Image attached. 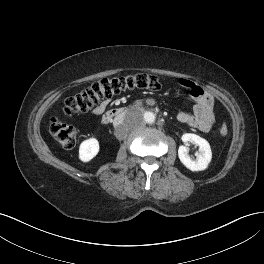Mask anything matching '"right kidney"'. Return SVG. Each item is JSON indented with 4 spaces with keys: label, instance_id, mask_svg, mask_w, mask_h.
<instances>
[{
    "label": "right kidney",
    "instance_id": "ca27d5eb",
    "mask_svg": "<svg viewBox=\"0 0 264 264\" xmlns=\"http://www.w3.org/2000/svg\"><path fill=\"white\" fill-rule=\"evenodd\" d=\"M99 152V142L96 138L84 140L79 147V159L82 162H89Z\"/></svg>",
    "mask_w": 264,
    "mask_h": 264
}]
</instances>
